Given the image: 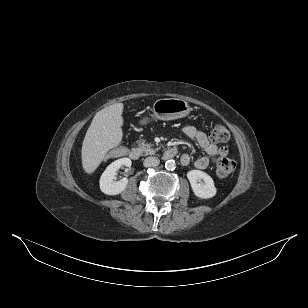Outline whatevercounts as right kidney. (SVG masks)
Here are the masks:
<instances>
[{
	"mask_svg": "<svg viewBox=\"0 0 308 308\" xmlns=\"http://www.w3.org/2000/svg\"><path fill=\"white\" fill-rule=\"evenodd\" d=\"M132 164L129 158H121L111 163L101 175L100 189L107 195H118L123 192L128 184L126 177L119 181H114L115 175L121 166L130 167Z\"/></svg>",
	"mask_w": 308,
	"mask_h": 308,
	"instance_id": "right-kidney-1",
	"label": "right kidney"
}]
</instances>
